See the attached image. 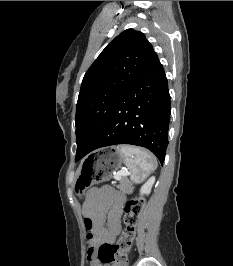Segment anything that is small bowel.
Listing matches in <instances>:
<instances>
[{
  "mask_svg": "<svg viewBox=\"0 0 233 266\" xmlns=\"http://www.w3.org/2000/svg\"><path fill=\"white\" fill-rule=\"evenodd\" d=\"M124 197L111 188L93 189L86 198L84 213L91 222L88 230V258L93 260L98 247L111 244L121 229ZM92 266H98L97 263ZM114 266V265H112Z\"/></svg>",
  "mask_w": 233,
  "mask_h": 266,
  "instance_id": "1",
  "label": "small bowel"
}]
</instances>
